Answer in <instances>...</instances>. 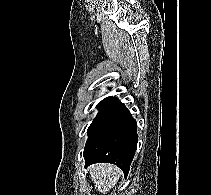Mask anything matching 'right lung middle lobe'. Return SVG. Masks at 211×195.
Returning <instances> with one entry per match:
<instances>
[{
    "label": "right lung middle lobe",
    "mask_w": 211,
    "mask_h": 195,
    "mask_svg": "<svg viewBox=\"0 0 211 195\" xmlns=\"http://www.w3.org/2000/svg\"><path fill=\"white\" fill-rule=\"evenodd\" d=\"M110 99H111V97H108V98L102 100V101L97 105V107L99 108L100 111H99L98 115L96 116V118H95V119L93 120V122L91 123V125L89 126L88 131H87L88 133L91 132L92 128H93L94 125L96 124V122H97L99 116L101 115V113L103 112V110L105 109V107L107 106V104H108V102L110 101Z\"/></svg>",
    "instance_id": "1"
}]
</instances>
